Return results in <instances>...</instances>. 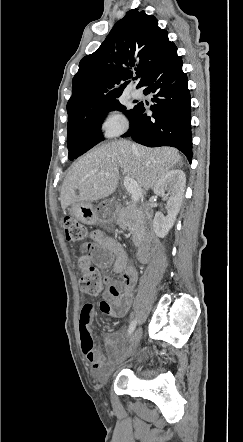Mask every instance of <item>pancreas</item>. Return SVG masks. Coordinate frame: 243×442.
Returning <instances> with one entry per match:
<instances>
[{"instance_id": "1", "label": "pancreas", "mask_w": 243, "mask_h": 442, "mask_svg": "<svg viewBox=\"0 0 243 442\" xmlns=\"http://www.w3.org/2000/svg\"><path fill=\"white\" fill-rule=\"evenodd\" d=\"M116 224L120 228H127L132 234V240L138 245L143 231V224L137 210L133 206H127L119 210Z\"/></svg>"}]
</instances>
